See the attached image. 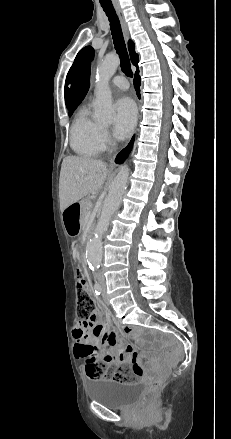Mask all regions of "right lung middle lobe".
I'll use <instances>...</instances> for the list:
<instances>
[{
	"instance_id": "dd1d6c3e",
	"label": "right lung middle lobe",
	"mask_w": 231,
	"mask_h": 439,
	"mask_svg": "<svg viewBox=\"0 0 231 439\" xmlns=\"http://www.w3.org/2000/svg\"><path fill=\"white\" fill-rule=\"evenodd\" d=\"M73 111H74V109L69 110V116L72 115Z\"/></svg>"
}]
</instances>
